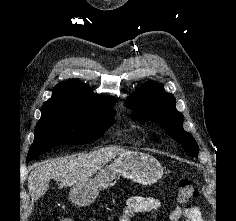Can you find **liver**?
<instances>
[{
  "mask_svg": "<svg viewBox=\"0 0 236 221\" xmlns=\"http://www.w3.org/2000/svg\"><path fill=\"white\" fill-rule=\"evenodd\" d=\"M125 152L123 148L110 146L36 164L28 177V189L32 200H38L47 192L51 179L61 182V188L82 183L115 156Z\"/></svg>",
  "mask_w": 236,
  "mask_h": 221,
  "instance_id": "6515ba94",
  "label": "liver"
}]
</instances>
